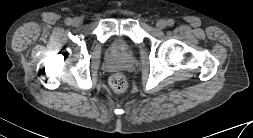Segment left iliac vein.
I'll return each instance as SVG.
<instances>
[{
  "label": "left iliac vein",
  "mask_w": 253,
  "mask_h": 138,
  "mask_svg": "<svg viewBox=\"0 0 253 138\" xmlns=\"http://www.w3.org/2000/svg\"><path fill=\"white\" fill-rule=\"evenodd\" d=\"M156 26H157L158 29L162 30V29L166 28L167 22L164 19H159L156 22Z\"/></svg>",
  "instance_id": "1"
}]
</instances>
